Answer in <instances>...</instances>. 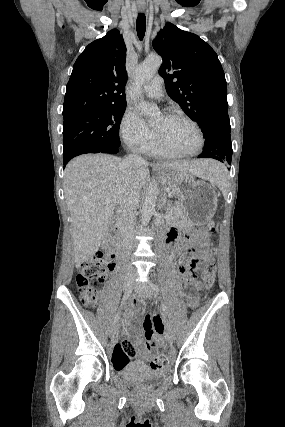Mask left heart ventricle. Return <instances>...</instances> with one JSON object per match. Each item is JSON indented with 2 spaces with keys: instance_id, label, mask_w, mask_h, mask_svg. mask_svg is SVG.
Masks as SVG:
<instances>
[{
  "instance_id": "obj_1",
  "label": "left heart ventricle",
  "mask_w": 285,
  "mask_h": 427,
  "mask_svg": "<svg viewBox=\"0 0 285 427\" xmlns=\"http://www.w3.org/2000/svg\"><path fill=\"white\" fill-rule=\"evenodd\" d=\"M152 125L167 143L178 150L190 152L198 146L199 139L195 129L184 120L159 115Z\"/></svg>"
}]
</instances>
